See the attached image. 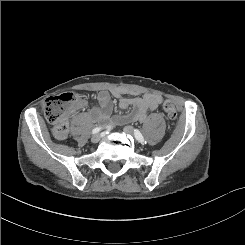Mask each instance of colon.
<instances>
[{
  "instance_id": "5ec220e1",
  "label": "colon",
  "mask_w": 245,
  "mask_h": 245,
  "mask_svg": "<svg viewBox=\"0 0 245 245\" xmlns=\"http://www.w3.org/2000/svg\"><path fill=\"white\" fill-rule=\"evenodd\" d=\"M84 97L83 94L63 93L46 100L44 115L47 121L53 124L52 133L57 140L67 138L68 118L75 108L84 101ZM162 106L170 120L177 119V109L171 101L164 100Z\"/></svg>"
}]
</instances>
